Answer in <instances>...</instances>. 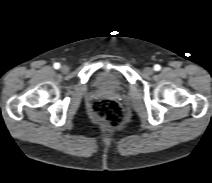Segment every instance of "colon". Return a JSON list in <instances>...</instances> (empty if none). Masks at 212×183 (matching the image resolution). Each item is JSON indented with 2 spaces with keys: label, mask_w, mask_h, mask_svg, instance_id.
Wrapping results in <instances>:
<instances>
[{
  "label": "colon",
  "mask_w": 212,
  "mask_h": 183,
  "mask_svg": "<svg viewBox=\"0 0 212 183\" xmlns=\"http://www.w3.org/2000/svg\"><path fill=\"white\" fill-rule=\"evenodd\" d=\"M92 115L102 125L114 128L124 121V112L120 104L112 99H100L93 102Z\"/></svg>",
  "instance_id": "5ec220e1"
}]
</instances>
